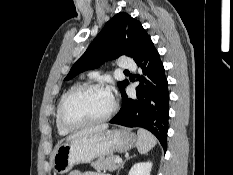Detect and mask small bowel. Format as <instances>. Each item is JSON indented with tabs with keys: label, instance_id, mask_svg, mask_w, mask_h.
Returning a JSON list of instances; mask_svg holds the SVG:
<instances>
[{
	"label": "small bowel",
	"instance_id": "c3829d8e",
	"mask_svg": "<svg viewBox=\"0 0 233 175\" xmlns=\"http://www.w3.org/2000/svg\"><path fill=\"white\" fill-rule=\"evenodd\" d=\"M69 175H110V174L101 173V172H97V171L74 170Z\"/></svg>",
	"mask_w": 233,
	"mask_h": 175
}]
</instances>
